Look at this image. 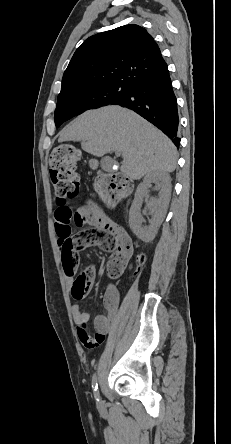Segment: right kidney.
I'll use <instances>...</instances> for the list:
<instances>
[{"label":"right kidney","instance_id":"ca27d5eb","mask_svg":"<svg viewBox=\"0 0 231 444\" xmlns=\"http://www.w3.org/2000/svg\"><path fill=\"white\" fill-rule=\"evenodd\" d=\"M151 183H155L159 189V197L151 199L148 203V209L153 213V219L148 226H143V217L140 213L143 198L148 194V188ZM171 196V178L167 172H152L147 174L143 182L138 185L134 201L129 212V225L133 233L142 241H152L162 224Z\"/></svg>","mask_w":231,"mask_h":444}]
</instances>
